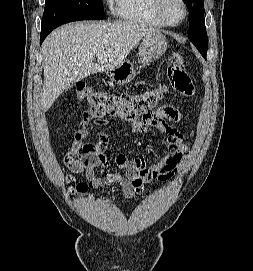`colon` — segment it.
I'll return each instance as SVG.
<instances>
[{"mask_svg": "<svg viewBox=\"0 0 253 271\" xmlns=\"http://www.w3.org/2000/svg\"><path fill=\"white\" fill-rule=\"evenodd\" d=\"M170 60L172 65L169 76L175 89L183 95L191 96L194 90L193 84L182 70L186 67V60L177 52L171 55ZM165 92L166 87L159 85L139 93L113 94L92 91L90 86L80 83L76 86L75 96L79 101H88L93 112L100 115L113 112L146 114L158 106ZM68 181L70 184L74 183L72 178ZM84 186L83 183L76 185L79 190Z\"/></svg>", "mask_w": 253, "mask_h": 271, "instance_id": "obj_1", "label": "colon"}]
</instances>
